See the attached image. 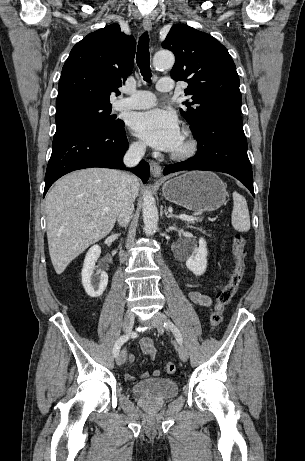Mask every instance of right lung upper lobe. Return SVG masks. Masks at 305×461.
<instances>
[{
  "label": "right lung upper lobe",
  "mask_w": 305,
  "mask_h": 461,
  "mask_svg": "<svg viewBox=\"0 0 305 461\" xmlns=\"http://www.w3.org/2000/svg\"><path fill=\"white\" fill-rule=\"evenodd\" d=\"M136 41L111 24L88 34L71 50L58 85L56 108L75 103H110L112 92L133 69Z\"/></svg>",
  "instance_id": "cb5924a9"
}]
</instances>
